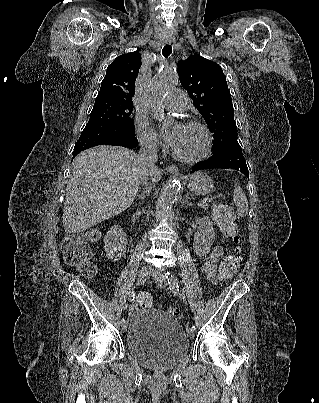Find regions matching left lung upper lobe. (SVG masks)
<instances>
[{"label":"left lung upper lobe","mask_w":319,"mask_h":403,"mask_svg":"<svg viewBox=\"0 0 319 403\" xmlns=\"http://www.w3.org/2000/svg\"><path fill=\"white\" fill-rule=\"evenodd\" d=\"M181 85L213 133V154L237 145V126L226 77L215 62L193 55L178 63Z\"/></svg>","instance_id":"5c2ea615"}]
</instances>
